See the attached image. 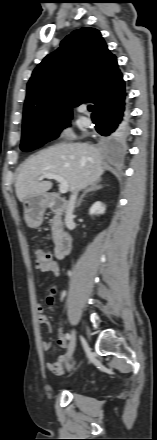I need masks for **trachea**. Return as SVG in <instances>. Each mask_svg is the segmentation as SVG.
I'll use <instances>...</instances> for the list:
<instances>
[{
  "label": "trachea",
  "mask_w": 157,
  "mask_h": 440,
  "mask_svg": "<svg viewBox=\"0 0 157 440\" xmlns=\"http://www.w3.org/2000/svg\"><path fill=\"white\" fill-rule=\"evenodd\" d=\"M93 109H94V107H93L92 105H89V106H88V110H89V111H92Z\"/></svg>",
  "instance_id": "obj_1"
}]
</instances>
